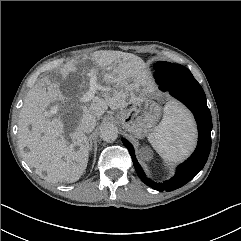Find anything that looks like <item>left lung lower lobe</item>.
Returning <instances> with one entry per match:
<instances>
[{
    "label": "left lung lower lobe",
    "instance_id": "obj_1",
    "mask_svg": "<svg viewBox=\"0 0 241 241\" xmlns=\"http://www.w3.org/2000/svg\"><path fill=\"white\" fill-rule=\"evenodd\" d=\"M154 78L160 90L169 91L172 96L185 104L194 114L199 132L197 148L189 159L178 166L176 175L172 179L163 183H156L145 176L135 157L133 146L125 139H122V142L129 150L139 178L157 191L170 192L188 183L204 167L211 149L212 119L210 110L207 107L205 93L197 81L172 88L157 73L154 74Z\"/></svg>",
    "mask_w": 241,
    "mask_h": 241
}]
</instances>
